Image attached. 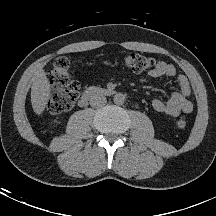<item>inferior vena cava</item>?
Returning a JSON list of instances; mask_svg holds the SVG:
<instances>
[{
  "label": "inferior vena cava",
  "instance_id": "1",
  "mask_svg": "<svg viewBox=\"0 0 216 216\" xmlns=\"http://www.w3.org/2000/svg\"><path fill=\"white\" fill-rule=\"evenodd\" d=\"M106 97L102 94H94L90 98V105L94 108L102 107L106 104Z\"/></svg>",
  "mask_w": 216,
  "mask_h": 216
}]
</instances>
